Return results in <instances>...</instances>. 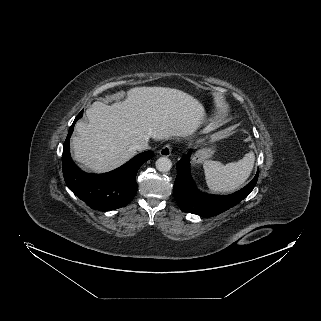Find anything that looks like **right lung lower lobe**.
I'll return each mask as SVG.
<instances>
[{"label": "right lung lower lobe", "mask_w": 321, "mask_h": 321, "mask_svg": "<svg viewBox=\"0 0 321 321\" xmlns=\"http://www.w3.org/2000/svg\"><path fill=\"white\" fill-rule=\"evenodd\" d=\"M83 115L81 111L69 128L63 145L62 169L67 187L89 207L110 211L129 204L138 189L136 174L140 166L154 156L152 151L136 155L123 166L105 174H87L72 161L69 142L74 125Z\"/></svg>", "instance_id": "obj_1"}]
</instances>
